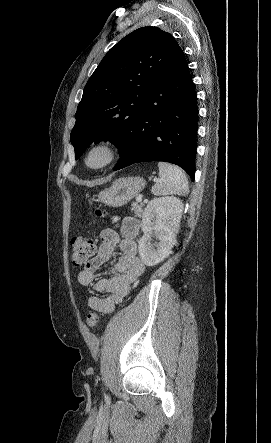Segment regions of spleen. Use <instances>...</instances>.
I'll return each mask as SVG.
<instances>
[{"instance_id":"obj_1","label":"spleen","mask_w":271,"mask_h":443,"mask_svg":"<svg viewBox=\"0 0 271 443\" xmlns=\"http://www.w3.org/2000/svg\"><path fill=\"white\" fill-rule=\"evenodd\" d=\"M159 178L160 182L152 186V194L154 196H171V194H179L186 196L189 192L187 178L178 166H171L166 162H159Z\"/></svg>"}]
</instances>
